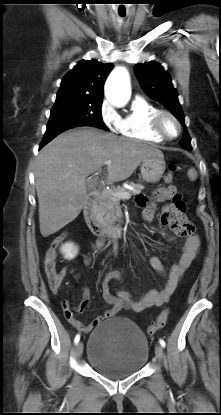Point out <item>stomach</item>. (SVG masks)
<instances>
[{
	"label": "stomach",
	"mask_w": 221,
	"mask_h": 415,
	"mask_svg": "<svg viewBox=\"0 0 221 415\" xmlns=\"http://www.w3.org/2000/svg\"><path fill=\"white\" fill-rule=\"evenodd\" d=\"M166 164L163 156H152L145 159L141 164V175L144 181L156 183L165 171Z\"/></svg>",
	"instance_id": "obj_1"
}]
</instances>
